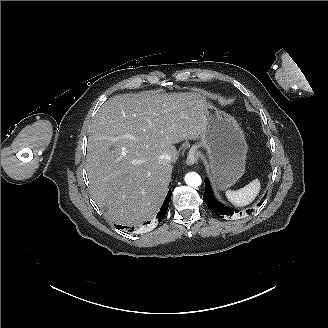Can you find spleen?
<instances>
[{"mask_svg":"<svg viewBox=\"0 0 328 328\" xmlns=\"http://www.w3.org/2000/svg\"><path fill=\"white\" fill-rule=\"evenodd\" d=\"M260 189L261 184L259 179H254L239 190H227L226 197L233 205L243 207L254 201L256 196L259 194Z\"/></svg>","mask_w":328,"mask_h":328,"instance_id":"3e777b00","label":"spleen"}]
</instances>
